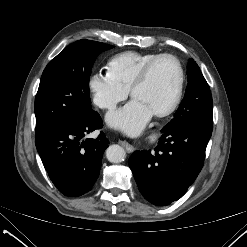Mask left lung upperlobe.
Masks as SVG:
<instances>
[{"label":"left lung upper lobe","instance_id":"5c2ea615","mask_svg":"<svg viewBox=\"0 0 247 247\" xmlns=\"http://www.w3.org/2000/svg\"><path fill=\"white\" fill-rule=\"evenodd\" d=\"M187 76L188 85L185 96L175 112L174 118L163 127L162 132L188 120H196L209 126L213 125L211 91L193 59H189Z\"/></svg>","mask_w":247,"mask_h":247}]
</instances>
